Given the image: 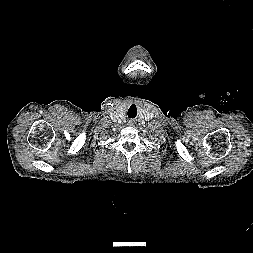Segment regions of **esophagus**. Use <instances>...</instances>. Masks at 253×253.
I'll use <instances>...</instances> for the list:
<instances>
[{"label": "esophagus", "mask_w": 253, "mask_h": 253, "mask_svg": "<svg viewBox=\"0 0 253 253\" xmlns=\"http://www.w3.org/2000/svg\"><path fill=\"white\" fill-rule=\"evenodd\" d=\"M129 123L133 124V121H129Z\"/></svg>", "instance_id": "obj_1"}]
</instances>
